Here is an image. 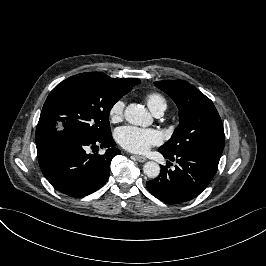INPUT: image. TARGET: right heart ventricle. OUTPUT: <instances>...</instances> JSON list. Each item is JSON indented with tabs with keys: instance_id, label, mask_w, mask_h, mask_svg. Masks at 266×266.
Masks as SVG:
<instances>
[{
	"instance_id": "obj_1",
	"label": "right heart ventricle",
	"mask_w": 266,
	"mask_h": 266,
	"mask_svg": "<svg viewBox=\"0 0 266 266\" xmlns=\"http://www.w3.org/2000/svg\"><path fill=\"white\" fill-rule=\"evenodd\" d=\"M144 99L149 106V108L154 112V113H162L167 109L168 102L166 97L156 91H152L147 93L144 96Z\"/></svg>"
}]
</instances>
